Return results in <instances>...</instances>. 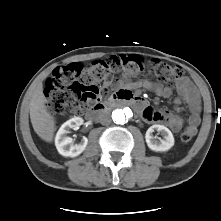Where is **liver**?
I'll list each match as a JSON object with an SVG mask.
<instances>
[{"label":"liver","mask_w":221,"mask_h":221,"mask_svg":"<svg viewBox=\"0 0 221 221\" xmlns=\"http://www.w3.org/2000/svg\"><path fill=\"white\" fill-rule=\"evenodd\" d=\"M45 103L43 87L42 84H39L30 102V119L36 134L44 141L52 142L56 130V121Z\"/></svg>","instance_id":"6515ba94"}]
</instances>
